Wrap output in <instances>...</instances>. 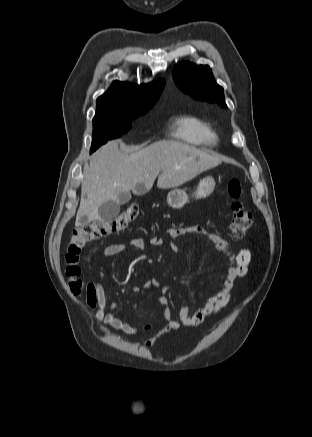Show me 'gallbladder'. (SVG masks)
I'll return each mask as SVG.
<instances>
[{"mask_svg":"<svg viewBox=\"0 0 312 437\" xmlns=\"http://www.w3.org/2000/svg\"><path fill=\"white\" fill-rule=\"evenodd\" d=\"M131 199V193L125 191L119 194L117 201H107L102 204L98 209V214L102 221H111L116 218L120 213V205L129 202Z\"/></svg>","mask_w":312,"mask_h":437,"instance_id":"bac80fb5","label":"gallbladder"}]
</instances>
